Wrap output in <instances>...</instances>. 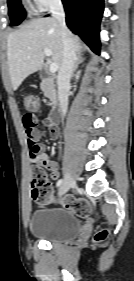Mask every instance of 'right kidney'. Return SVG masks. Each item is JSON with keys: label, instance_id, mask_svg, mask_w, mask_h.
Returning <instances> with one entry per match:
<instances>
[{"label": "right kidney", "instance_id": "ca27d5eb", "mask_svg": "<svg viewBox=\"0 0 134 281\" xmlns=\"http://www.w3.org/2000/svg\"><path fill=\"white\" fill-rule=\"evenodd\" d=\"M80 73H81V71H79V72L77 73V75H76V79H78V78H79Z\"/></svg>", "mask_w": 134, "mask_h": 281}]
</instances>
